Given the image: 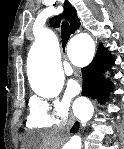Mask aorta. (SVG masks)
Instances as JSON below:
<instances>
[{"mask_svg":"<svg viewBox=\"0 0 124 149\" xmlns=\"http://www.w3.org/2000/svg\"><path fill=\"white\" fill-rule=\"evenodd\" d=\"M71 48L94 52L95 45L87 33L76 35L70 41ZM29 81L32 90L39 96L51 98L57 96L64 83V74L59 61V47L55 36L51 33L44 36L35 48V62L30 71ZM94 113V107L86 98H81L76 112L82 125H86ZM64 149H82L81 138L73 136Z\"/></svg>","mask_w":124,"mask_h":149,"instance_id":"762f6f07","label":"aorta"}]
</instances>
